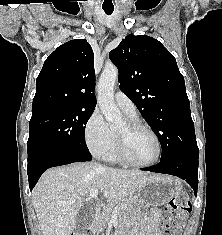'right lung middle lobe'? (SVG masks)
Masks as SVG:
<instances>
[{
	"label": "right lung middle lobe",
	"instance_id": "right-lung-middle-lobe-1",
	"mask_svg": "<svg viewBox=\"0 0 222 235\" xmlns=\"http://www.w3.org/2000/svg\"><path fill=\"white\" fill-rule=\"evenodd\" d=\"M93 111L53 105L32 113L27 142L28 165L54 153L89 155L85 142V126Z\"/></svg>",
	"mask_w": 222,
	"mask_h": 235
}]
</instances>
